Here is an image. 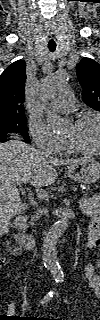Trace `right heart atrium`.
<instances>
[{
  "label": "right heart atrium",
  "mask_w": 100,
  "mask_h": 320,
  "mask_svg": "<svg viewBox=\"0 0 100 320\" xmlns=\"http://www.w3.org/2000/svg\"><path fill=\"white\" fill-rule=\"evenodd\" d=\"M29 134L34 144L48 153H57L63 146V140L40 122L29 124Z\"/></svg>",
  "instance_id": "d8ad5b80"
}]
</instances>
